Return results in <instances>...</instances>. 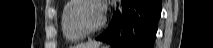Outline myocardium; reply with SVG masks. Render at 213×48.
Here are the masks:
<instances>
[{"mask_svg":"<svg viewBox=\"0 0 213 48\" xmlns=\"http://www.w3.org/2000/svg\"><path fill=\"white\" fill-rule=\"evenodd\" d=\"M85 3H95L102 10L101 20L95 28H92V29L86 28L81 23V21L79 20V18L77 16V11ZM69 18H70V21H71V24L73 25V27L83 36H88V35H92V34L99 32L104 27L105 22H106L104 7H103L102 3L98 0H75V2L73 3V5L71 7V10L69 13Z\"/></svg>","mask_w":213,"mask_h":48,"instance_id":"f54148a6","label":"myocardium"}]
</instances>
